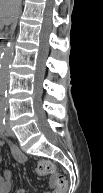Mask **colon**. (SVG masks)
<instances>
[{
  "label": "colon",
  "instance_id": "5ec220e1",
  "mask_svg": "<svg viewBox=\"0 0 103 193\" xmlns=\"http://www.w3.org/2000/svg\"><path fill=\"white\" fill-rule=\"evenodd\" d=\"M37 172L41 176L55 175L54 184L60 189L61 193H64L67 187V179L61 174H57L55 165L46 159H42L38 162Z\"/></svg>",
  "mask_w": 103,
  "mask_h": 193
}]
</instances>
